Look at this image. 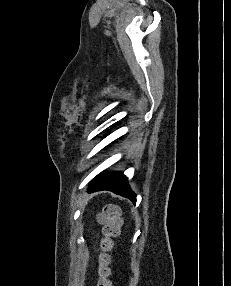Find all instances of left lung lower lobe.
Here are the masks:
<instances>
[{
	"label": "left lung lower lobe",
	"instance_id": "left-lung-lower-lobe-1",
	"mask_svg": "<svg viewBox=\"0 0 231 286\" xmlns=\"http://www.w3.org/2000/svg\"><path fill=\"white\" fill-rule=\"evenodd\" d=\"M109 190L130 199L136 203V195L127 184V178L122 173H109L96 177L90 185L89 191Z\"/></svg>",
	"mask_w": 231,
	"mask_h": 286
}]
</instances>
